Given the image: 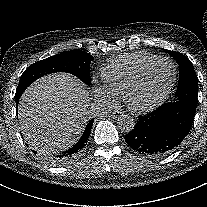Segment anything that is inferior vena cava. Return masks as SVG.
<instances>
[{
	"label": "inferior vena cava",
	"instance_id": "1",
	"mask_svg": "<svg viewBox=\"0 0 207 207\" xmlns=\"http://www.w3.org/2000/svg\"><path fill=\"white\" fill-rule=\"evenodd\" d=\"M95 111H96V107L95 106H91L90 114H94Z\"/></svg>",
	"mask_w": 207,
	"mask_h": 207
}]
</instances>
